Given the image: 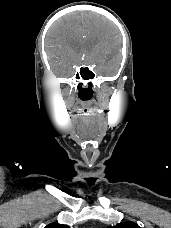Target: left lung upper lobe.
Wrapping results in <instances>:
<instances>
[{
  "instance_id": "left-lung-upper-lobe-1",
  "label": "left lung upper lobe",
  "mask_w": 171,
  "mask_h": 228,
  "mask_svg": "<svg viewBox=\"0 0 171 228\" xmlns=\"http://www.w3.org/2000/svg\"><path fill=\"white\" fill-rule=\"evenodd\" d=\"M108 228H140L136 223L133 222H125L121 223L114 227H108Z\"/></svg>"
}]
</instances>
